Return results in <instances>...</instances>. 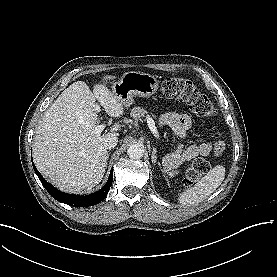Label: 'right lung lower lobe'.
I'll return each mask as SVG.
<instances>
[{"label":"right lung lower lobe","mask_w":277,"mask_h":277,"mask_svg":"<svg viewBox=\"0 0 277 277\" xmlns=\"http://www.w3.org/2000/svg\"><path fill=\"white\" fill-rule=\"evenodd\" d=\"M33 167H34L35 173L37 174L42 185L45 187L48 193L59 202H62L64 204H67L73 207H89V206L98 204L107 196L113 181V170H111L109 179L103 188H101L99 191L92 193L90 195L79 196V195L68 194V193L59 191L42 177V175L36 169L34 164H33Z\"/></svg>","instance_id":"1"}]
</instances>
